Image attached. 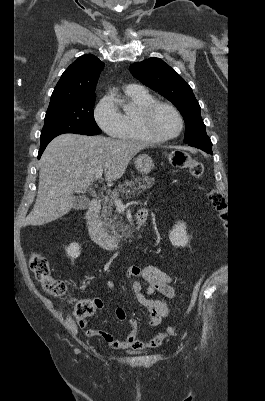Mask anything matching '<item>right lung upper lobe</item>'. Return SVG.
<instances>
[{
	"mask_svg": "<svg viewBox=\"0 0 265 401\" xmlns=\"http://www.w3.org/2000/svg\"><path fill=\"white\" fill-rule=\"evenodd\" d=\"M103 67V62L92 54H85L76 59L62 74L52 93L49 106L95 95L94 91Z\"/></svg>",
	"mask_w": 265,
	"mask_h": 401,
	"instance_id": "right-lung-upper-lobe-1",
	"label": "right lung upper lobe"
}]
</instances>
